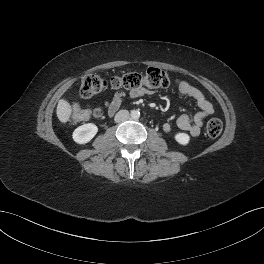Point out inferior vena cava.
I'll use <instances>...</instances> for the list:
<instances>
[{"label": "inferior vena cava", "instance_id": "1", "mask_svg": "<svg viewBox=\"0 0 264 264\" xmlns=\"http://www.w3.org/2000/svg\"><path fill=\"white\" fill-rule=\"evenodd\" d=\"M130 114L128 110H120L116 115H115V122L119 123L122 121H125L129 118Z\"/></svg>", "mask_w": 264, "mask_h": 264}]
</instances>
